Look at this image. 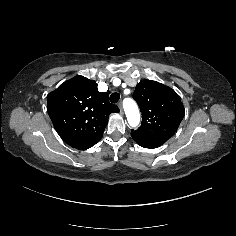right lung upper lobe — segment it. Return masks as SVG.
I'll return each mask as SVG.
<instances>
[{
  "mask_svg": "<svg viewBox=\"0 0 236 236\" xmlns=\"http://www.w3.org/2000/svg\"><path fill=\"white\" fill-rule=\"evenodd\" d=\"M47 110L59 136L79 150L95 145L103 136L109 115L119 112L109 102L108 93L99 92L94 80L80 75L48 94Z\"/></svg>",
  "mask_w": 236,
  "mask_h": 236,
  "instance_id": "1",
  "label": "right lung upper lobe"
}]
</instances>
